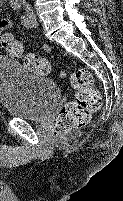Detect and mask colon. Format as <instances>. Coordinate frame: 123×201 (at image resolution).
Wrapping results in <instances>:
<instances>
[{"label": "colon", "mask_w": 123, "mask_h": 201, "mask_svg": "<svg viewBox=\"0 0 123 201\" xmlns=\"http://www.w3.org/2000/svg\"><path fill=\"white\" fill-rule=\"evenodd\" d=\"M2 48L11 56L21 58L25 66L38 74H49L51 65L48 60L36 54H26L22 45L11 34H6ZM71 85L76 89L75 99L66 103L54 119L52 135L56 139L79 130L91 121L92 114L101 106V96L94 86L91 73L78 69L69 75Z\"/></svg>", "instance_id": "colon-1"}]
</instances>
